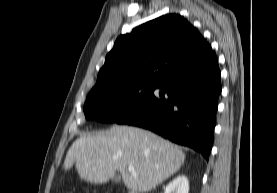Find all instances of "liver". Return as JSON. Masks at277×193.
Masks as SVG:
<instances>
[{
    "label": "liver",
    "mask_w": 277,
    "mask_h": 193,
    "mask_svg": "<svg viewBox=\"0 0 277 193\" xmlns=\"http://www.w3.org/2000/svg\"><path fill=\"white\" fill-rule=\"evenodd\" d=\"M185 160L177 145L141 128L113 125L78 138L68 150L64 169L75 163L81 179L106 183L119 171L129 190L149 192L174 175ZM134 167V173L127 170Z\"/></svg>",
    "instance_id": "6515ba94"
}]
</instances>
